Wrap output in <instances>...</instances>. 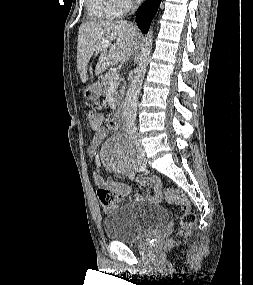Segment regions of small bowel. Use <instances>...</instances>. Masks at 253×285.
I'll return each mask as SVG.
<instances>
[{
  "instance_id": "c3829d8e",
  "label": "small bowel",
  "mask_w": 253,
  "mask_h": 285,
  "mask_svg": "<svg viewBox=\"0 0 253 285\" xmlns=\"http://www.w3.org/2000/svg\"><path fill=\"white\" fill-rule=\"evenodd\" d=\"M111 117L110 113H101V124L98 127H92L95 129V134L90 142V145L88 147V153L91 156H94L96 152L98 151L101 143L106 138L108 134V129L102 127V121L103 126H110V121H108V118ZM94 180L97 185L101 187H108L113 189L115 192L118 193L119 196H127L131 193V189L128 185L116 182L112 180H104L98 173L94 175ZM134 180V179H131ZM136 181L140 185H150L153 188L154 194L152 196H142V195H136V199L141 202H148L153 204H163L164 203V188L159 178L157 177H144L140 176L136 179ZM105 210L109 209L108 205L104 206Z\"/></svg>"
}]
</instances>
